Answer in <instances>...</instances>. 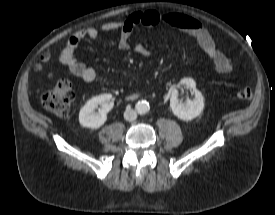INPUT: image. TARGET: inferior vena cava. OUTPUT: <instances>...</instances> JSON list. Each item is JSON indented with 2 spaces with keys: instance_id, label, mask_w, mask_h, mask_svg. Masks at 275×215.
<instances>
[{
  "instance_id": "obj_1",
  "label": "inferior vena cava",
  "mask_w": 275,
  "mask_h": 215,
  "mask_svg": "<svg viewBox=\"0 0 275 215\" xmlns=\"http://www.w3.org/2000/svg\"><path fill=\"white\" fill-rule=\"evenodd\" d=\"M136 118H137V113L135 110L128 109L124 112V119L126 121L132 122V121L136 120Z\"/></svg>"
}]
</instances>
